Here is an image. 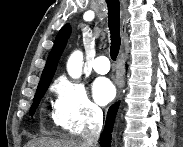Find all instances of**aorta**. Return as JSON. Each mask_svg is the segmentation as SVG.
I'll use <instances>...</instances> for the list:
<instances>
[{
    "instance_id": "1",
    "label": "aorta",
    "mask_w": 183,
    "mask_h": 147,
    "mask_svg": "<svg viewBox=\"0 0 183 147\" xmlns=\"http://www.w3.org/2000/svg\"><path fill=\"white\" fill-rule=\"evenodd\" d=\"M82 66H83V54L81 51H75L67 62V71L68 74L77 79L82 74Z\"/></svg>"
}]
</instances>
